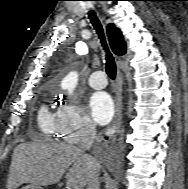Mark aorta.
<instances>
[{"mask_svg": "<svg viewBox=\"0 0 188 189\" xmlns=\"http://www.w3.org/2000/svg\"><path fill=\"white\" fill-rule=\"evenodd\" d=\"M78 83V74L77 72H70L68 75H66L62 82L61 87L68 91V93L71 95L73 91L75 90Z\"/></svg>", "mask_w": 188, "mask_h": 189, "instance_id": "aorta-1", "label": "aorta"}]
</instances>
